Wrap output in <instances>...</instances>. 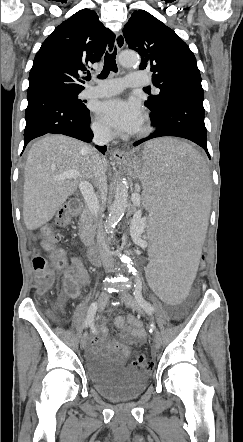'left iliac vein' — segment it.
<instances>
[{
  "label": "left iliac vein",
  "mask_w": 243,
  "mask_h": 442,
  "mask_svg": "<svg viewBox=\"0 0 243 442\" xmlns=\"http://www.w3.org/2000/svg\"><path fill=\"white\" fill-rule=\"evenodd\" d=\"M120 298L124 301L133 311L139 314H144L140 305L136 301V299L127 291L121 293ZM153 347L158 350L161 347V335L159 331L155 330L154 338H153Z\"/></svg>",
  "instance_id": "1"
}]
</instances>
